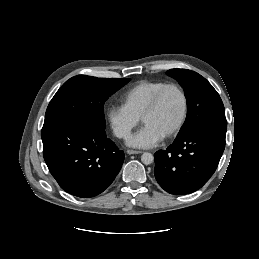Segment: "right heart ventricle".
I'll return each instance as SVG.
<instances>
[{"instance_id": "e07e8e85", "label": "right heart ventricle", "mask_w": 259, "mask_h": 259, "mask_svg": "<svg viewBox=\"0 0 259 259\" xmlns=\"http://www.w3.org/2000/svg\"><path fill=\"white\" fill-rule=\"evenodd\" d=\"M163 80H144L129 88L123 95V106L134 116L141 118L155 94L166 85Z\"/></svg>"}]
</instances>
